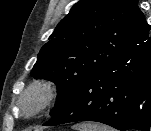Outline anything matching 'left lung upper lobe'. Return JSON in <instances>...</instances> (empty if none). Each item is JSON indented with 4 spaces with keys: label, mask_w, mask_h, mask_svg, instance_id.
I'll list each match as a JSON object with an SVG mask.
<instances>
[{
    "label": "left lung upper lobe",
    "mask_w": 151,
    "mask_h": 131,
    "mask_svg": "<svg viewBox=\"0 0 151 131\" xmlns=\"http://www.w3.org/2000/svg\"><path fill=\"white\" fill-rule=\"evenodd\" d=\"M138 0H80L41 48L31 71L57 85V113L89 76L116 67L131 52Z\"/></svg>",
    "instance_id": "left-lung-upper-lobe-1"
}]
</instances>
